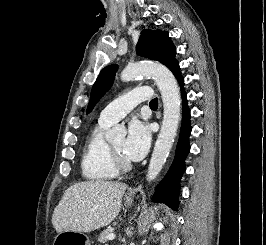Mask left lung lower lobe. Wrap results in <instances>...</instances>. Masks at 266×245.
Wrapping results in <instances>:
<instances>
[{
	"label": "left lung lower lobe",
	"instance_id": "left-lung-lower-lobe-1",
	"mask_svg": "<svg viewBox=\"0 0 266 245\" xmlns=\"http://www.w3.org/2000/svg\"><path fill=\"white\" fill-rule=\"evenodd\" d=\"M170 70L177 78L181 87L182 101H183V113H182V125L179 135V140L176 147V154L174 161L170 167V170L163 181L157 186L155 195L152 200L155 202L166 203L169 207L177 210L178 207V193H179V182L181 175L185 170L184 159L189 153L190 146L188 139L191 133L190 126V110L187 106L186 93L183 89L184 79L180 74V67L176 62Z\"/></svg>",
	"mask_w": 266,
	"mask_h": 245
}]
</instances>
